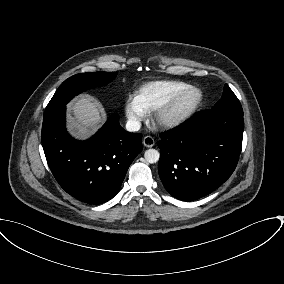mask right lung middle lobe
<instances>
[{"label": "right lung middle lobe", "instance_id": "1", "mask_svg": "<svg viewBox=\"0 0 284 284\" xmlns=\"http://www.w3.org/2000/svg\"><path fill=\"white\" fill-rule=\"evenodd\" d=\"M116 76L115 73L96 72V73H80L71 76L65 80L57 89L54 96L48 103L44 117L49 116L65 105L76 95L84 90L105 85Z\"/></svg>", "mask_w": 284, "mask_h": 284}]
</instances>
